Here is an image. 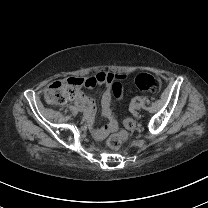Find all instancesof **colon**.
<instances>
[{"label":"colon","mask_w":208,"mask_h":208,"mask_svg":"<svg viewBox=\"0 0 208 208\" xmlns=\"http://www.w3.org/2000/svg\"><path fill=\"white\" fill-rule=\"evenodd\" d=\"M99 83H108L113 97L117 100L122 99L124 92L123 81L114 79V74L107 72H99L88 79H75V83L69 79H60L48 87L46 94L52 104L59 106L71 101L75 97L76 91L80 90V88L93 87ZM135 84L143 92L153 93L158 91L157 80L143 72L137 73ZM122 129L124 130L122 133L114 134L109 138L108 145L111 148H117L121 145L129 131L136 129V122L134 120H124Z\"/></svg>","instance_id":"1"}]
</instances>
